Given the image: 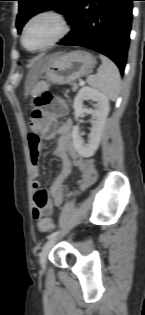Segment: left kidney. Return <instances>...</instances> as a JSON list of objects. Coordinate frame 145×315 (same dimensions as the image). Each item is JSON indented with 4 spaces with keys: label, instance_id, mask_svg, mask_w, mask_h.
<instances>
[{
    "label": "left kidney",
    "instance_id": "left-kidney-1",
    "mask_svg": "<svg viewBox=\"0 0 145 315\" xmlns=\"http://www.w3.org/2000/svg\"><path fill=\"white\" fill-rule=\"evenodd\" d=\"M84 100H93L96 102L95 109H86L83 107ZM74 116L77 121L83 113L92 115L94 122L88 143L85 144L79 134V126L76 125L72 130L73 145L79 155L89 158L94 155L98 149L105 121L109 113V99L106 95L96 89L83 87L76 95L73 103Z\"/></svg>",
    "mask_w": 145,
    "mask_h": 315
}]
</instances>
